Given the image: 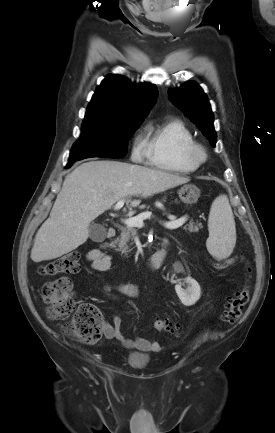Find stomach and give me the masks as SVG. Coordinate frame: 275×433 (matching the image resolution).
I'll use <instances>...</instances> for the list:
<instances>
[{
    "instance_id": "1",
    "label": "stomach",
    "mask_w": 275,
    "mask_h": 433,
    "mask_svg": "<svg viewBox=\"0 0 275 433\" xmlns=\"http://www.w3.org/2000/svg\"><path fill=\"white\" fill-rule=\"evenodd\" d=\"M178 195L185 204H194L200 197V190L195 185L187 184L178 190Z\"/></svg>"
}]
</instances>
